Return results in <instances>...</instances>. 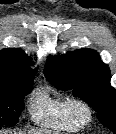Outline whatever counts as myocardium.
Returning <instances> with one entry per match:
<instances>
[{
    "label": "myocardium",
    "instance_id": "obj_1",
    "mask_svg": "<svg viewBox=\"0 0 116 134\" xmlns=\"http://www.w3.org/2000/svg\"><path fill=\"white\" fill-rule=\"evenodd\" d=\"M65 107L72 120L79 126L88 124L92 120V109L84 100L76 97L66 99Z\"/></svg>",
    "mask_w": 116,
    "mask_h": 134
}]
</instances>
